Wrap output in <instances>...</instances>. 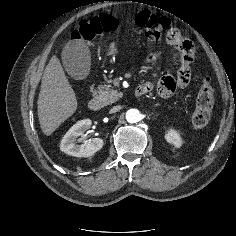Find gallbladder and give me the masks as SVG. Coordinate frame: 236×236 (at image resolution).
<instances>
[{
  "label": "gallbladder",
  "mask_w": 236,
  "mask_h": 236,
  "mask_svg": "<svg viewBox=\"0 0 236 236\" xmlns=\"http://www.w3.org/2000/svg\"><path fill=\"white\" fill-rule=\"evenodd\" d=\"M62 62L66 72L75 80L85 79L90 71V51L81 40L69 41L62 50Z\"/></svg>",
  "instance_id": "gallbladder-1"
}]
</instances>
